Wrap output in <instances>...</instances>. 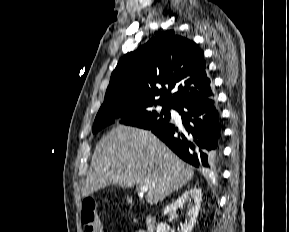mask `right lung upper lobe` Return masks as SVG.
Returning a JSON list of instances; mask_svg holds the SVG:
<instances>
[{"label":"right lung upper lobe","instance_id":"right-lung-upper-lobe-1","mask_svg":"<svg viewBox=\"0 0 289 232\" xmlns=\"http://www.w3.org/2000/svg\"><path fill=\"white\" fill-rule=\"evenodd\" d=\"M201 49L191 40L163 31L125 54L112 72L105 100L133 97L172 108L214 96ZM172 89H177L173 94Z\"/></svg>","mask_w":289,"mask_h":232}]
</instances>
